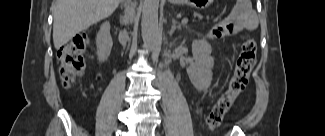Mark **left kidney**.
<instances>
[{
	"mask_svg": "<svg viewBox=\"0 0 325 136\" xmlns=\"http://www.w3.org/2000/svg\"><path fill=\"white\" fill-rule=\"evenodd\" d=\"M212 47L206 39L194 40L192 54L195 62L187 68V74L193 86L199 91H206L212 82L214 59Z\"/></svg>",
	"mask_w": 325,
	"mask_h": 136,
	"instance_id": "5707ae66",
	"label": "left kidney"
}]
</instances>
